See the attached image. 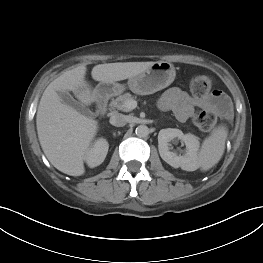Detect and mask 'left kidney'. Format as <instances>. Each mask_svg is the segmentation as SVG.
<instances>
[{
  "label": "left kidney",
  "instance_id": "left-kidney-1",
  "mask_svg": "<svg viewBox=\"0 0 263 263\" xmlns=\"http://www.w3.org/2000/svg\"><path fill=\"white\" fill-rule=\"evenodd\" d=\"M178 138L186 145V152L177 155L170 151V142ZM200 147L199 139L192 134H183L179 129L167 128L159 131L158 149L161 158L174 168L180 167L186 171H194L199 167L198 150Z\"/></svg>",
  "mask_w": 263,
  "mask_h": 263
}]
</instances>
